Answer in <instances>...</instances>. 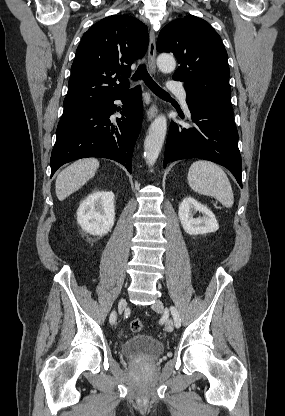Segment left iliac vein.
Masks as SVG:
<instances>
[{"label":"left iliac vein","mask_w":285,"mask_h":416,"mask_svg":"<svg viewBox=\"0 0 285 416\" xmlns=\"http://www.w3.org/2000/svg\"><path fill=\"white\" fill-rule=\"evenodd\" d=\"M152 309L158 312H162L164 310V303L160 299H156L155 302L152 304ZM174 328L173 322L171 319H167L165 323V329L168 332H172Z\"/></svg>","instance_id":"obj_1"}]
</instances>
